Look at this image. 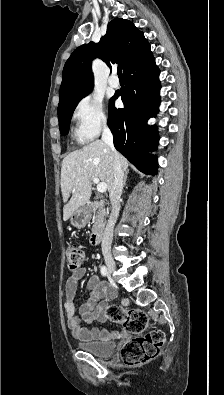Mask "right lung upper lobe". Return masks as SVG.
<instances>
[{
	"instance_id": "cb5924a9",
	"label": "right lung upper lobe",
	"mask_w": 224,
	"mask_h": 395,
	"mask_svg": "<svg viewBox=\"0 0 224 395\" xmlns=\"http://www.w3.org/2000/svg\"><path fill=\"white\" fill-rule=\"evenodd\" d=\"M150 50L143 32L129 20L116 18L109 22L99 43L90 42L74 50L63 69L58 109L92 88L91 61L101 58L110 68L118 63L125 72Z\"/></svg>"
}]
</instances>
